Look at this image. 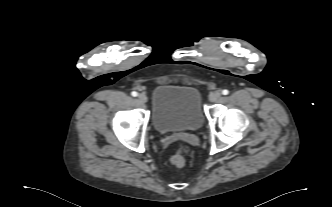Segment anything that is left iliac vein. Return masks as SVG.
Here are the masks:
<instances>
[{"instance_id": "left-iliac-vein-1", "label": "left iliac vein", "mask_w": 332, "mask_h": 207, "mask_svg": "<svg viewBox=\"0 0 332 207\" xmlns=\"http://www.w3.org/2000/svg\"><path fill=\"white\" fill-rule=\"evenodd\" d=\"M222 98V94L220 91H215L213 93L210 94L209 96V100L211 102H219Z\"/></svg>"}]
</instances>
